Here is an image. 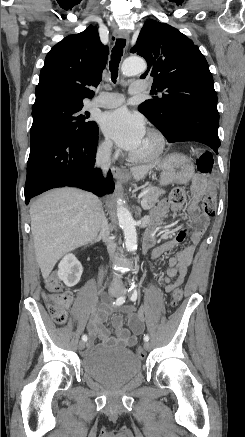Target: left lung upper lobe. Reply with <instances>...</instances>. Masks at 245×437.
<instances>
[{"label": "left lung upper lobe", "mask_w": 245, "mask_h": 437, "mask_svg": "<svg viewBox=\"0 0 245 437\" xmlns=\"http://www.w3.org/2000/svg\"><path fill=\"white\" fill-rule=\"evenodd\" d=\"M145 58L147 71L140 78L154 77L161 98L138 106L165 137L185 111H198L219 120L217 94L204 55L192 40L176 28L155 20L145 22L136 45L130 50Z\"/></svg>", "instance_id": "1"}]
</instances>
